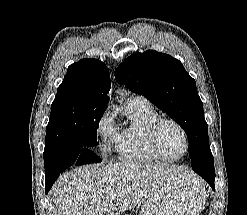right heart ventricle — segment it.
I'll use <instances>...</instances> for the list:
<instances>
[{"mask_svg": "<svg viewBox=\"0 0 247 215\" xmlns=\"http://www.w3.org/2000/svg\"><path fill=\"white\" fill-rule=\"evenodd\" d=\"M126 122L115 131L111 143L118 158L132 163H151L161 160L152 151L148 127L160 118L149 103L130 100L126 105Z\"/></svg>", "mask_w": 247, "mask_h": 215, "instance_id": "right-heart-ventricle-1", "label": "right heart ventricle"}]
</instances>
